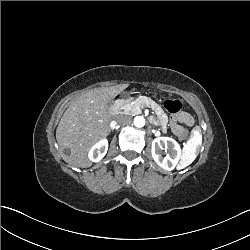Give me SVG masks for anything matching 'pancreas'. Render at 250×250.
Returning <instances> with one entry per match:
<instances>
[{
	"label": "pancreas",
	"mask_w": 250,
	"mask_h": 250,
	"mask_svg": "<svg viewBox=\"0 0 250 250\" xmlns=\"http://www.w3.org/2000/svg\"><path fill=\"white\" fill-rule=\"evenodd\" d=\"M137 103L135 104H131L130 100H126V107L123 110L124 113H134L136 107H137Z\"/></svg>",
	"instance_id": "1"
}]
</instances>
